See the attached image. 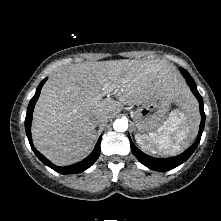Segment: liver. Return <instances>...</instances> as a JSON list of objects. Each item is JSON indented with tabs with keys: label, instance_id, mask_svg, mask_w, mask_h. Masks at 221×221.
<instances>
[{
	"label": "liver",
	"instance_id": "obj_1",
	"mask_svg": "<svg viewBox=\"0 0 221 221\" xmlns=\"http://www.w3.org/2000/svg\"><path fill=\"white\" fill-rule=\"evenodd\" d=\"M112 88L117 100L103 99ZM167 94L186 108L190 95L175 67L165 61L110 60L58 69L44 84L35 105L32 139L36 149L58 166L86 158L96 140L95 119H108L123 105H140Z\"/></svg>",
	"mask_w": 221,
	"mask_h": 221
}]
</instances>
